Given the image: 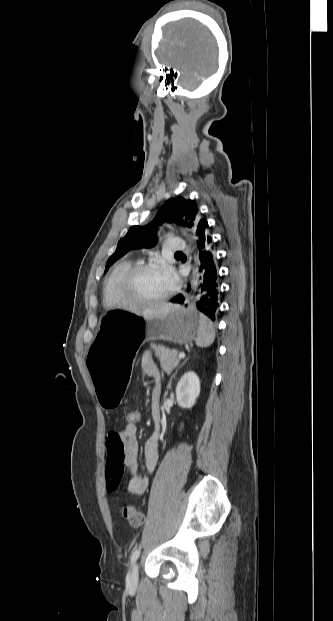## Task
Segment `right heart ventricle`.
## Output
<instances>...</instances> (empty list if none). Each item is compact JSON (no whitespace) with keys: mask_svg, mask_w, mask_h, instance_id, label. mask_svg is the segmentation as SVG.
Instances as JSON below:
<instances>
[{"mask_svg":"<svg viewBox=\"0 0 333 621\" xmlns=\"http://www.w3.org/2000/svg\"><path fill=\"white\" fill-rule=\"evenodd\" d=\"M131 266L132 264L130 261H122L116 264L106 277L102 291V299L105 307L109 308L123 305L118 294V281Z\"/></svg>","mask_w":333,"mask_h":621,"instance_id":"right-heart-ventricle-1","label":"right heart ventricle"}]
</instances>
